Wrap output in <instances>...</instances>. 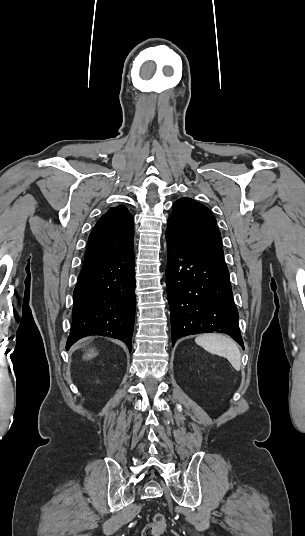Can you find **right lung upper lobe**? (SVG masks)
Returning a JSON list of instances; mask_svg holds the SVG:
<instances>
[{
  "mask_svg": "<svg viewBox=\"0 0 305 536\" xmlns=\"http://www.w3.org/2000/svg\"><path fill=\"white\" fill-rule=\"evenodd\" d=\"M133 217L119 205L109 209L96 223L89 239L84 262L108 258L133 249Z\"/></svg>",
  "mask_w": 305,
  "mask_h": 536,
  "instance_id": "1",
  "label": "right lung upper lobe"
}]
</instances>
